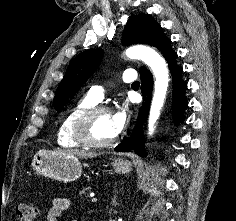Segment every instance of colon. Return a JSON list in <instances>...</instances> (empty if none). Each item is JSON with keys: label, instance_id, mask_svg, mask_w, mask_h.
I'll return each mask as SVG.
<instances>
[{"label": "colon", "instance_id": "1", "mask_svg": "<svg viewBox=\"0 0 236 221\" xmlns=\"http://www.w3.org/2000/svg\"><path fill=\"white\" fill-rule=\"evenodd\" d=\"M37 208L32 203H21L16 211L18 221H35Z\"/></svg>", "mask_w": 236, "mask_h": 221}]
</instances>
